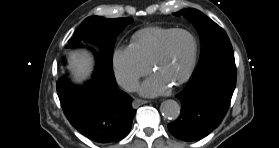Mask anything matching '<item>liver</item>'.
I'll return each instance as SVG.
<instances>
[{
    "label": "liver",
    "mask_w": 279,
    "mask_h": 148,
    "mask_svg": "<svg viewBox=\"0 0 279 148\" xmlns=\"http://www.w3.org/2000/svg\"><path fill=\"white\" fill-rule=\"evenodd\" d=\"M69 68L80 80L87 77L93 68V58L86 51L73 52L69 59Z\"/></svg>",
    "instance_id": "obj_1"
}]
</instances>
